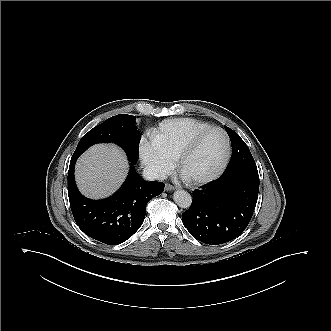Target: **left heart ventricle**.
Instances as JSON below:
<instances>
[{"mask_svg": "<svg viewBox=\"0 0 331 331\" xmlns=\"http://www.w3.org/2000/svg\"><path fill=\"white\" fill-rule=\"evenodd\" d=\"M224 139L219 132L203 136L184 160L182 171L188 178L211 174L221 163Z\"/></svg>", "mask_w": 331, "mask_h": 331, "instance_id": "obj_1", "label": "left heart ventricle"}]
</instances>
